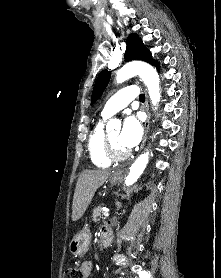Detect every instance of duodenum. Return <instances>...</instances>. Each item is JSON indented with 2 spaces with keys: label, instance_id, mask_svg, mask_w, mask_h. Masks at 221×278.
<instances>
[{
  "label": "duodenum",
  "instance_id": "obj_1",
  "mask_svg": "<svg viewBox=\"0 0 221 278\" xmlns=\"http://www.w3.org/2000/svg\"><path fill=\"white\" fill-rule=\"evenodd\" d=\"M112 237H113V229L111 226H107L102 230L101 244H100L102 249H106L111 244Z\"/></svg>",
  "mask_w": 221,
  "mask_h": 278
}]
</instances>
